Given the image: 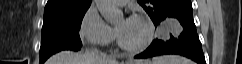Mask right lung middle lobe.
Here are the masks:
<instances>
[{"instance_id":"right-lung-middle-lobe-1","label":"right lung middle lobe","mask_w":242,"mask_h":64,"mask_svg":"<svg viewBox=\"0 0 242 64\" xmlns=\"http://www.w3.org/2000/svg\"><path fill=\"white\" fill-rule=\"evenodd\" d=\"M86 11L44 15L40 47V64L62 50L78 51L82 42L79 36Z\"/></svg>"}]
</instances>
